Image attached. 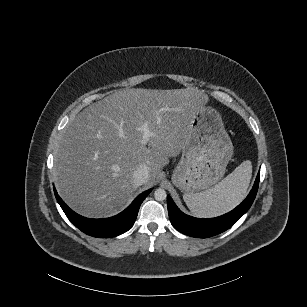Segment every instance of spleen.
<instances>
[{
	"instance_id": "obj_1",
	"label": "spleen",
	"mask_w": 307,
	"mask_h": 307,
	"mask_svg": "<svg viewBox=\"0 0 307 307\" xmlns=\"http://www.w3.org/2000/svg\"><path fill=\"white\" fill-rule=\"evenodd\" d=\"M252 174V161L245 160L212 188L202 193H184L183 200L197 218L222 216L246 198Z\"/></svg>"
}]
</instances>
